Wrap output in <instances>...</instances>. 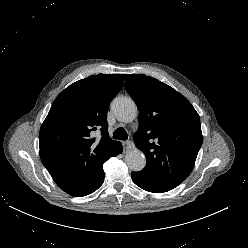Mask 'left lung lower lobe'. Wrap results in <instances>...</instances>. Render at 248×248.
<instances>
[{
    "label": "left lung lower lobe",
    "instance_id": "left-lung-lower-lobe-1",
    "mask_svg": "<svg viewBox=\"0 0 248 248\" xmlns=\"http://www.w3.org/2000/svg\"><path fill=\"white\" fill-rule=\"evenodd\" d=\"M133 182L139 186L140 188L148 191V192H154V193H162L169 191L168 189L164 188H158L149 183V180L146 178L144 174L140 172H132L131 174Z\"/></svg>",
    "mask_w": 248,
    "mask_h": 248
}]
</instances>
